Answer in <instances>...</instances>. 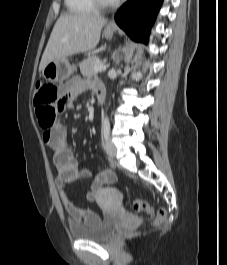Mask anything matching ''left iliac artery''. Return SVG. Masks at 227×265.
<instances>
[{"mask_svg": "<svg viewBox=\"0 0 227 265\" xmlns=\"http://www.w3.org/2000/svg\"><path fill=\"white\" fill-rule=\"evenodd\" d=\"M109 132H110V124L108 121H105L103 124V134L105 139L109 137Z\"/></svg>", "mask_w": 227, "mask_h": 265, "instance_id": "left-iliac-artery-1", "label": "left iliac artery"}]
</instances>
